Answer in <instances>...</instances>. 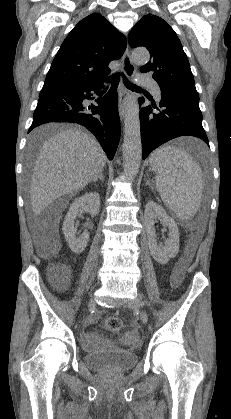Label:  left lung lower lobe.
Segmentation results:
<instances>
[{"label":"left lung lower lobe","mask_w":231,"mask_h":419,"mask_svg":"<svg viewBox=\"0 0 231 419\" xmlns=\"http://www.w3.org/2000/svg\"><path fill=\"white\" fill-rule=\"evenodd\" d=\"M161 96V113H153L150 105L140 112L143 158L161 144L179 136H195L209 145L202 126L199 96L168 90H161ZM144 102V98H139V104Z\"/></svg>","instance_id":"left-lung-lower-lobe-1"}]
</instances>
